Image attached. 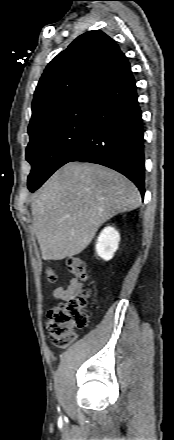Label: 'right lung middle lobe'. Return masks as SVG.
I'll list each match as a JSON object with an SVG mask.
<instances>
[{
  "label": "right lung middle lobe",
  "instance_id": "1",
  "mask_svg": "<svg viewBox=\"0 0 174 440\" xmlns=\"http://www.w3.org/2000/svg\"><path fill=\"white\" fill-rule=\"evenodd\" d=\"M94 105L95 95L88 94L29 126L26 159L32 166L28 176L30 191L43 184L75 152L84 138Z\"/></svg>",
  "mask_w": 174,
  "mask_h": 440
}]
</instances>
